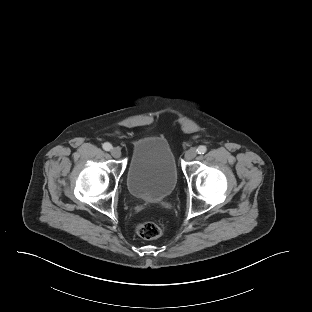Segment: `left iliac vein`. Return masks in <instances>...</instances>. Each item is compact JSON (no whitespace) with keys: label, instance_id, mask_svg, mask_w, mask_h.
<instances>
[{"label":"left iliac vein","instance_id":"4c4485c4","mask_svg":"<svg viewBox=\"0 0 312 312\" xmlns=\"http://www.w3.org/2000/svg\"><path fill=\"white\" fill-rule=\"evenodd\" d=\"M197 155V150L195 148H190L185 152V159L190 161L194 159Z\"/></svg>","mask_w":312,"mask_h":312}]
</instances>
